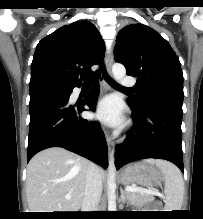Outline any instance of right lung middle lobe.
<instances>
[{
	"label": "right lung middle lobe",
	"mask_w": 203,
	"mask_h": 219,
	"mask_svg": "<svg viewBox=\"0 0 203 219\" xmlns=\"http://www.w3.org/2000/svg\"><path fill=\"white\" fill-rule=\"evenodd\" d=\"M68 85L53 80H37L30 82V94L40 89H63L67 90Z\"/></svg>",
	"instance_id": "right-lung-middle-lobe-1"
}]
</instances>
